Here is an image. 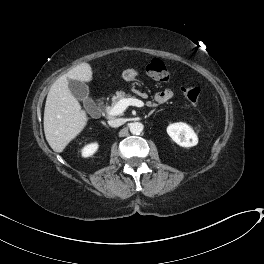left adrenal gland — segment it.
<instances>
[{
  "label": "left adrenal gland",
  "instance_id": "1",
  "mask_svg": "<svg viewBox=\"0 0 264 264\" xmlns=\"http://www.w3.org/2000/svg\"><path fill=\"white\" fill-rule=\"evenodd\" d=\"M155 110H152L148 113V116H150Z\"/></svg>",
  "mask_w": 264,
  "mask_h": 264
}]
</instances>
